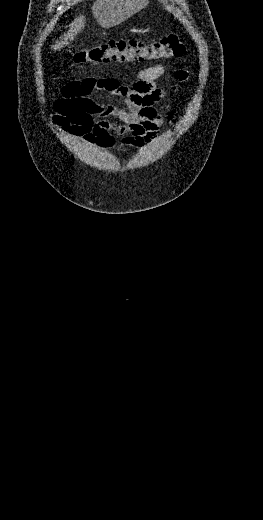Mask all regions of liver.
I'll list each match as a JSON object with an SVG mask.
<instances>
[{"mask_svg":"<svg viewBox=\"0 0 263 520\" xmlns=\"http://www.w3.org/2000/svg\"><path fill=\"white\" fill-rule=\"evenodd\" d=\"M148 4L149 0H96L92 5V13L101 27L110 28L124 22ZM85 24L83 15L76 17L67 33L51 48L56 51L68 45L84 29Z\"/></svg>","mask_w":263,"mask_h":520,"instance_id":"obj_1","label":"liver"}]
</instances>
